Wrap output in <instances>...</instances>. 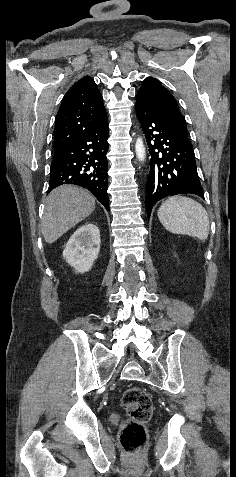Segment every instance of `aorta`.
Returning a JSON list of instances; mask_svg holds the SVG:
<instances>
[{"instance_id": "1", "label": "aorta", "mask_w": 236, "mask_h": 477, "mask_svg": "<svg viewBox=\"0 0 236 477\" xmlns=\"http://www.w3.org/2000/svg\"><path fill=\"white\" fill-rule=\"evenodd\" d=\"M135 152L136 156L139 161H144L146 157V151H145V146L143 143L142 138H137L136 144H135Z\"/></svg>"}]
</instances>
